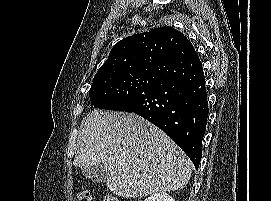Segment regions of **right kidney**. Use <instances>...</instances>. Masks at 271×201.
<instances>
[{"label": "right kidney", "instance_id": "ca27d5eb", "mask_svg": "<svg viewBox=\"0 0 271 201\" xmlns=\"http://www.w3.org/2000/svg\"><path fill=\"white\" fill-rule=\"evenodd\" d=\"M144 201H175V199L166 192H156L150 195Z\"/></svg>", "mask_w": 271, "mask_h": 201}]
</instances>
